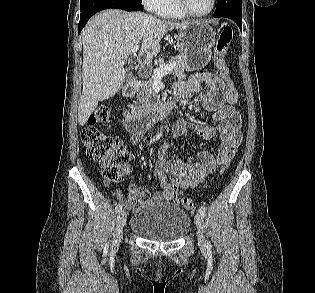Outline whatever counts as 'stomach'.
<instances>
[{
    "instance_id": "1",
    "label": "stomach",
    "mask_w": 315,
    "mask_h": 293,
    "mask_svg": "<svg viewBox=\"0 0 315 293\" xmlns=\"http://www.w3.org/2000/svg\"><path fill=\"white\" fill-rule=\"evenodd\" d=\"M215 43V31L203 21H193L181 28L177 38V49L186 58V69L196 71L204 68L211 59Z\"/></svg>"
}]
</instances>
